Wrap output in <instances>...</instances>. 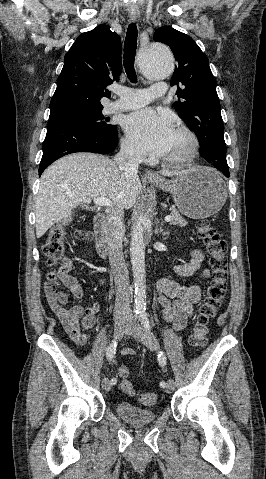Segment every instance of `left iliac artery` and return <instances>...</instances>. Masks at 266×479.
Returning <instances> with one entry per match:
<instances>
[{
	"instance_id": "44dca946",
	"label": "left iliac artery",
	"mask_w": 266,
	"mask_h": 479,
	"mask_svg": "<svg viewBox=\"0 0 266 479\" xmlns=\"http://www.w3.org/2000/svg\"><path fill=\"white\" fill-rule=\"evenodd\" d=\"M141 323L148 332H151V325L145 313L141 314ZM158 361H159V364L162 365V367L164 368L165 367L164 365L166 364V356L162 351H160L158 354ZM160 386L164 388L166 387V383L162 381L160 382Z\"/></svg>"
}]
</instances>
